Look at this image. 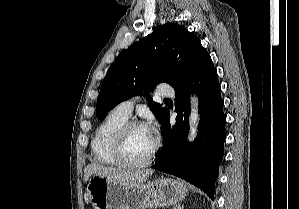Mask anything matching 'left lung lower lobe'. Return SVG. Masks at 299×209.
<instances>
[{
    "mask_svg": "<svg viewBox=\"0 0 299 209\" xmlns=\"http://www.w3.org/2000/svg\"><path fill=\"white\" fill-rule=\"evenodd\" d=\"M220 90L211 58L188 82L175 87V111L178 113L176 123L171 127L168 111L162 121L163 149L157 153L156 163L152 166L190 182L212 199L226 137V117ZM190 92L198 95L201 114L199 132L191 145L186 140Z\"/></svg>",
    "mask_w": 299,
    "mask_h": 209,
    "instance_id": "0a47b994",
    "label": "left lung lower lobe"
}]
</instances>
